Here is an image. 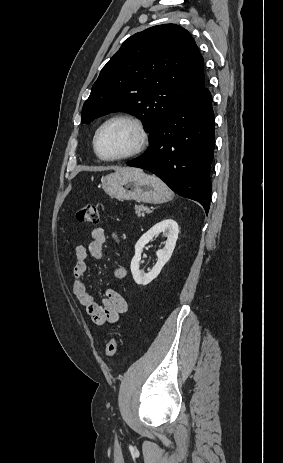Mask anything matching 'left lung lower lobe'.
<instances>
[{"mask_svg": "<svg viewBox=\"0 0 283 463\" xmlns=\"http://www.w3.org/2000/svg\"><path fill=\"white\" fill-rule=\"evenodd\" d=\"M214 142L211 93L203 86L179 103L151 136L148 151L127 165L154 173L208 213Z\"/></svg>", "mask_w": 283, "mask_h": 463, "instance_id": "left-lung-lower-lobe-1", "label": "left lung lower lobe"}]
</instances>
